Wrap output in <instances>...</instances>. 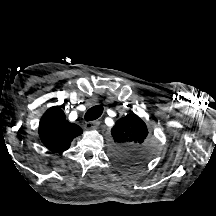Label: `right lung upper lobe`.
<instances>
[{
    "label": "right lung upper lobe",
    "instance_id": "obj_1",
    "mask_svg": "<svg viewBox=\"0 0 216 216\" xmlns=\"http://www.w3.org/2000/svg\"><path fill=\"white\" fill-rule=\"evenodd\" d=\"M83 133L82 129L66 120L60 106H53L41 117L39 136L50 151L61 153L67 150L72 140Z\"/></svg>",
    "mask_w": 216,
    "mask_h": 216
}]
</instances>
